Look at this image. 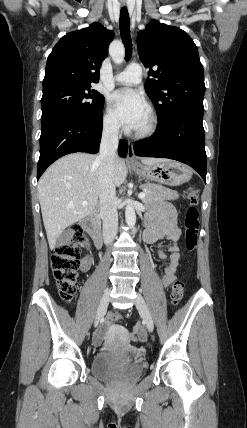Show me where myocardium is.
Here are the masks:
<instances>
[{"label": "myocardium", "instance_id": "f54148a6", "mask_svg": "<svg viewBox=\"0 0 247 428\" xmlns=\"http://www.w3.org/2000/svg\"><path fill=\"white\" fill-rule=\"evenodd\" d=\"M148 118H149V121H148L147 127L143 130H136L134 132L133 135L135 138L147 139L152 137L156 133L158 129V117L152 109H149L148 111Z\"/></svg>", "mask_w": 247, "mask_h": 428}]
</instances>
